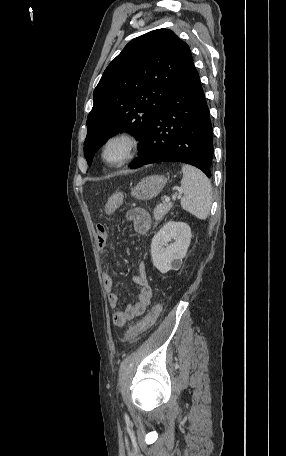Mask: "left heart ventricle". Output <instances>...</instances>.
<instances>
[{"instance_id": "left-heart-ventricle-1", "label": "left heart ventricle", "mask_w": 286, "mask_h": 456, "mask_svg": "<svg viewBox=\"0 0 286 456\" xmlns=\"http://www.w3.org/2000/svg\"><path fill=\"white\" fill-rule=\"evenodd\" d=\"M129 151L130 143L126 139H117L108 145L105 156L110 162H119L127 157Z\"/></svg>"}]
</instances>
